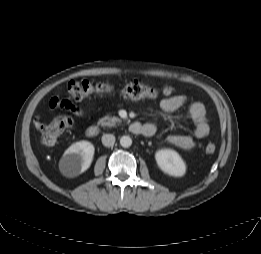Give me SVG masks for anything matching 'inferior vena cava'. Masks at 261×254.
I'll return each instance as SVG.
<instances>
[{
  "label": "inferior vena cava",
  "instance_id": "obj_1",
  "mask_svg": "<svg viewBox=\"0 0 261 254\" xmlns=\"http://www.w3.org/2000/svg\"><path fill=\"white\" fill-rule=\"evenodd\" d=\"M115 143V136L112 134H104L102 136V144L106 147L113 146Z\"/></svg>",
  "mask_w": 261,
  "mask_h": 254
}]
</instances>
